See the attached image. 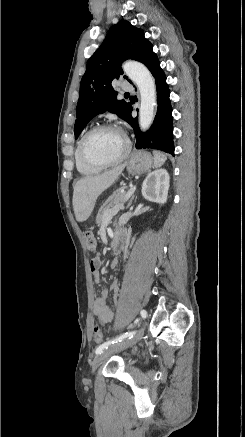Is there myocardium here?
<instances>
[{
    "instance_id": "obj_1",
    "label": "myocardium",
    "mask_w": 245,
    "mask_h": 437,
    "mask_svg": "<svg viewBox=\"0 0 245 437\" xmlns=\"http://www.w3.org/2000/svg\"><path fill=\"white\" fill-rule=\"evenodd\" d=\"M105 130L119 131L124 136L125 149H124L123 153L118 158H116L114 160H111V161L95 160L88 155V153L86 151V143H87V140L92 135H94L98 132H101V131H105ZM79 150H80L81 157L89 165L94 166V167H98V168H107V167H112V166H115V165L123 162L128 157V155L131 151V142H130L129 138L121 131L120 128H118L117 126H115L113 124L105 123V124H99V125L92 127L82 136V138L80 139V142H79Z\"/></svg>"
}]
</instances>
